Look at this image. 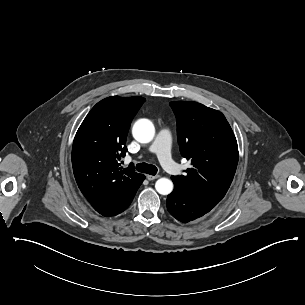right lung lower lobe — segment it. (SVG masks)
<instances>
[{"label":"right lung lower lobe","mask_w":305,"mask_h":305,"mask_svg":"<svg viewBox=\"0 0 305 305\" xmlns=\"http://www.w3.org/2000/svg\"><path fill=\"white\" fill-rule=\"evenodd\" d=\"M144 179H145V176H144ZM139 186L136 189H134L133 191H131L129 194H127L125 197H123L122 199L118 200L116 203H114V204H112V205H110V206H108V207H106L104 209H101V210H99L97 212L100 213L103 216H114V215H117V214L123 212L131 204V202H132V200H133V198H134V196L136 194V191L138 190Z\"/></svg>","instance_id":"right-lung-lower-lobe-1"}]
</instances>
